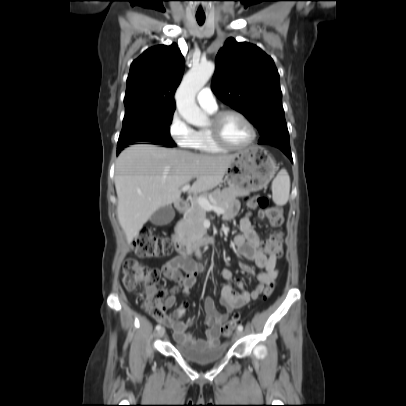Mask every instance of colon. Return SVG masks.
<instances>
[{
	"label": "colon",
	"instance_id": "colon-1",
	"mask_svg": "<svg viewBox=\"0 0 406 406\" xmlns=\"http://www.w3.org/2000/svg\"><path fill=\"white\" fill-rule=\"evenodd\" d=\"M247 205L250 208L261 209V216L272 226H280L283 223L281 210L269 206V201L265 196H252L248 198ZM282 238L281 233L273 234L266 242V252L281 256ZM133 247L136 255L144 258L167 256L173 250V246L167 238L158 235L150 228H143L136 234ZM122 281L126 290L141 294L146 310L153 318L159 321L163 319L164 310L161 300L166 297L167 292L164 288L159 287L161 281L159 270L145 266L136 259H127L123 265ZM273 291V284H268L263 291V298L268 299ZM240 322V315L234 314L222 325V335H230Z\"/></svg>",
	"mask_w": 406,
	"mask_h": 406
}]
</instances>
